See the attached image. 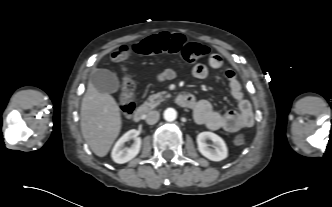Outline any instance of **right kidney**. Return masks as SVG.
Returning a JSON list of instances; mask_svg holds the SVG:
<instances>
[{"label": "right kidney", "mask_w": 332, "mask_h": 207, "mask_svg": "<svg viewBox=\"0 0 332 207\" xmlns=\"http://www.w3.org/2000/svg\"><path fill=\"white\" fill-rule=\"evenodd\" d=\"M138 136V131L130 130L126 132L114 145L111 153V157L114 162L118 164L126 163L135 158L141 148V139ZM134 138V142L131 147L126 148L125 142Z\"/></svg>", "instance_id": "ca27d5eb"}]
</instances>
